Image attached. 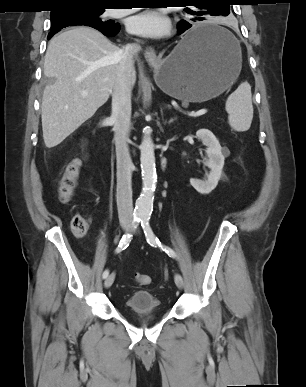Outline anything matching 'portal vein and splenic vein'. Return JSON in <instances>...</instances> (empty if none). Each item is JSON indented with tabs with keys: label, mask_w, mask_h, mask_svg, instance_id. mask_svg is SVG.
Listing matches in <instances>:
<instances>
[{
	"label": "portal vein and splenic vein",
	"mask_w": 306,
	"mask_h": 387,
	"mask_svg": "<svg viewBox=\"0 0 306 387\" xmlns=\"http://www.w3.org/2000/svg\"><path fill=\"white\" fill-rule=\"evenodd\" d=\"M82 95L85 96L87 95V92L86 91H83L82 92ZM207 113V109L203 108V109H200L198 110L197 112L193 113L192 116L193 117H198V116H201L203 114Z\"/></svg>",
	"instance_id": "1"
}]
</instances>
